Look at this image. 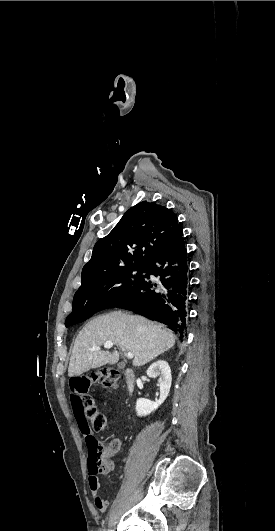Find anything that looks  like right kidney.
<instances>
[{
  "instance_id": "obj_1",
  "label": "right kidney",
  "mask_w": 275,
  "mask_h": 531,
  "mask_svg": "<svg viewBox=\"0 0 275 531\" xmlns=\"http://www.w3.org/2000/svg\"><path fill=\"white\" fill-rule=\"evenodd\" d=\"M147 375L148 377H152V379H156V377L161 375L160 379H158L160 397L156 403L149 401V399H137L135 409L138 417H146V415H150V413L156 411L164 403L165 399H167L172 385L171 369L167 361H156V363H152L147 371Z\"/></svg>"
}]
</instances>
